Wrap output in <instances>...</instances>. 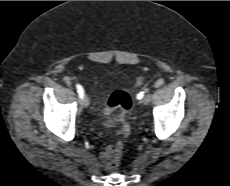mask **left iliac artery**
Instances as JSON below:
<instances>
[{
    "label": "left iliac artery",
    "instance_id": "44dca946",
    "mask_svg": "<svg viewBox=\"0 0 230 186\" xmlns=\"http://www.w3.org/2000/svg\"><path fill=\"white\" fill-rule=\"evenodd\" d=\"M144 96V91L137 94V99H142Z\"/></svg>",
    "mask_w": 230,
    "mask_h": 186
}]
</instances>
